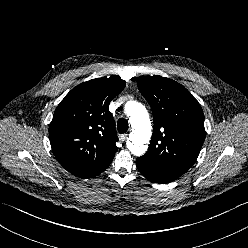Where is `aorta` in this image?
I'll list each match as a JSON object with an SVG mask.
<instances>
[{"instance_id":"obj_1","label":"aorta","mask_w":248,"mask_h":248,"mask_svg":"<svg viewBox=\"0 0 248 248\" xmlns=\"http://www.w3.org/2000/svg\"><path fill=\"white\" fill-rule=\"evenodd\" d=\"M130 118L132 132L129 137L128 149L135 156L143 155L151 137V122L146 108L138 102H129L125 106Z\"/></svg>"}]
</instances>
